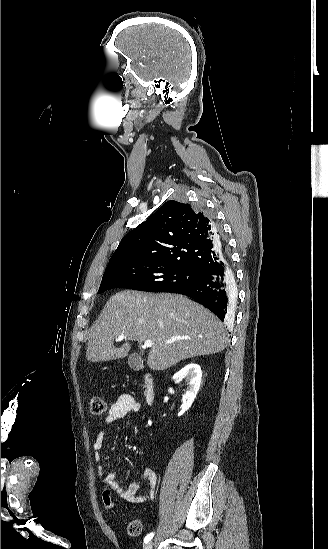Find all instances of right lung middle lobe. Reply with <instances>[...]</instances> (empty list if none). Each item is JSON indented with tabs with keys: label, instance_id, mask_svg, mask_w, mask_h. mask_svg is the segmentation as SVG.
Instances as JSON below:
<instances>
[{
	"label": "right lung middle lobe",
	"instance_id": "obj_1",
	"mask_svg": "<svg viewBox=\"0 0 328 549\" xmlns=\"http://www.w3.org/2000/svg\"><path fill=\"white\" fill-rule=\"evenodd\" d=\"M200 272L178 265L150 261H126L103 275L98 293L116 287L148 292H167L199 278Z\"/></svg>",
	"mask_w": 328,
	"mask_h": 549
}]
</instances>
